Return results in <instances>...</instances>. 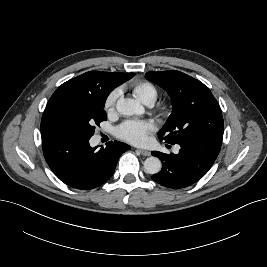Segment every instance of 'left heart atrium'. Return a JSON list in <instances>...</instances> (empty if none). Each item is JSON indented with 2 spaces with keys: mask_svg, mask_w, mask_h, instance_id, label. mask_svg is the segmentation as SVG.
<instances>
[{
  "mask_svg": "<svg viewBox=\"0 0 267 267\" xmlns=\"http://www.w3.org/2000/svg\"><path fill=\"white\" fill-rule=\"evenodd\" d=\"M154 125L144 120H127L116 129V135L125 141L143 145L148 141Z\"/></svg>",
  "mask_w": 267,
  "mask_h": 267,
  "instance_id": "1",
  "label": "left heart atrium"
}]
</instances>
